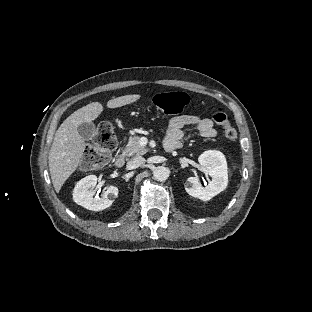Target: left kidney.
<instances>
[{
	"label": "left kidney",
	"instance_id": "1",
	"mask_svg": "<svg viewBox=\"0 0 312 312\" xmlns=\"http://www.w3.org/2000/svg\"><path fill=\"white\" fill-rule=\"evenodd\" d=\"M198 161L212 180L208 181V184L205 182V186H202L199 178L189 177L185 183V190L189 195L207 201L226 188L228 184L227 162L224 154L217 150L203 152Z\"/></svg>",
	"mask_w": 312,
	"mask_h": 312
}]
</instances>
